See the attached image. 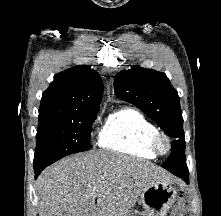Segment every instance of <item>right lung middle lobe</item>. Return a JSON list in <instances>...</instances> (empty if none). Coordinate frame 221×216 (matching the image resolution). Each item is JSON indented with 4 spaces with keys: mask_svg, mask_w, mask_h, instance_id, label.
Masks as SVG:
<instances>
[{
    "mask_svg": "<svg viewBox=\"0 0 221 216\" xmlns=\"http://www.w3.org/2000/svg\"><path fill=\"white\" fill-rule=\"evenodd\" d=\"M98 111L46 123H39L34 166L50 165L69 155L90 149L92 124Z\"/></svg>",
    "mask_w": 221,
    "mask_h": 216,
    "instance_id": "dd1d6c3e",
    "label": "right lung middle lobe"
}]
</instances>
